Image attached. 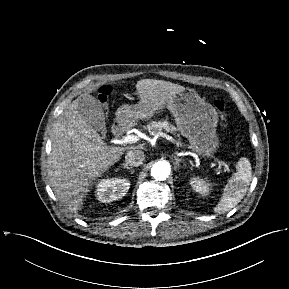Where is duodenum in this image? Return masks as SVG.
<instances>
[{"label":"duodenum","mask_w":289,"mask_h":289,"mask_svg":"<svg viewBox=\"0 0 289 289\" xmlns=\"http://www.w3.org/2000/svg\"><path fill=\"white\" fill-rule=\"evenodd\" d=\"M130 121L127 118H119L113 125V133L117 136L125 134L130 128Z\"/></svg>","instance_id":"1"}]
</instances>
